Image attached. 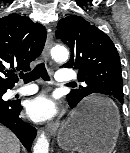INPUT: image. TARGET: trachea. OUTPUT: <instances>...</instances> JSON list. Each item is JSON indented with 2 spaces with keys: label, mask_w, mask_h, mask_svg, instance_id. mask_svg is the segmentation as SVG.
<instances>
[{
  "label": "trachea",
  "mask_w": 130,
  "mask_h": 153,
  "mask_svg": "<svg viewBox=\"0 0 130 153\" xmlns=\"http://www.w3.org/2000/svg\"><path fill=\"white\" fill-rule=\"evenodd\" d=\"M20 78L23 79L24 83H29L35 81L39 78L44 79L45 81H49L50 77L45 67V63H39L32 71L27 73H21Z\"/></svg>",
  "instance_id": "3493384b"
}]
</instances>
